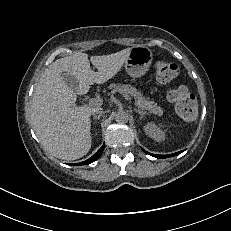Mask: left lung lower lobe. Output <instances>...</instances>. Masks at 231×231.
Listing matches in <instances>:
<instances>
[{"mask_svg": "<svg viewBox=\"0 0 231 231\" xmlns=\"http://www.w3.org/2000/svg\"><path fill=\"white\" fill-rule=\"evenodd\" d=\"M144 151H145V150H144ZM145 152H146V151H145ZM181 152H182V151L177 152V153H174V154H169V155H154V154H150V153H148V152H146V153H148V154H150L151 156L156 157V158H168V157L176 156V155L180 154Z\"/></svg>", "mask_w": 231, "mask_h": 231, "instance_id": "0a47b994", "label": "left lung lower lobe"}]
</instances>
